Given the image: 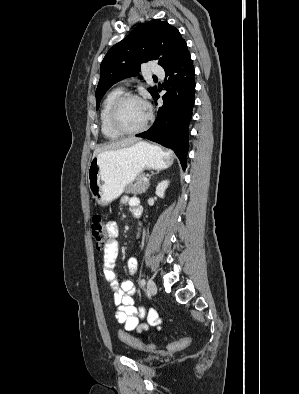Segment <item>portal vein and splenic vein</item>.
I'll use <instances>...</instances> for the list:
<instances>
[{
    "label": "portal vein and splenic vein",
    "instance_id": "obj_1",
    "mask_svg": "<svg viewBox=\"0 0 299 394\" xmlns=\"http://www.w3.org/2000/svg\"><path fill=\"white\" fill-rule=\"evenodd\" d=\"M143 181H144L145 183H147V182H148V178L145 177V178L143 179Z\"/></svg>",
    "mask_w": 299,
    "mask_h": 394
}]
</instances>
